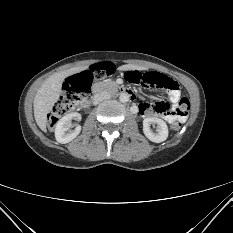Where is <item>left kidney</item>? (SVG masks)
I'll use <instances>...</instances> for the list:
<instances>
[{"label":"left kidney","mask_w":233,"mask_h":233,"mask_svg":"<svg viewBox=\"0 0 233 233\" xmlns=\"http://www.w3.org/2000/svg\"><path fill=\"white\" fill-rule=\"evenodd\" d=\"M151 124H157V132L151 130ZM143 132L150 141L155 143L163 142L168 137L167 124L162 119L156 117H148L143 120Z\"/></svg>","instance_id":"5707ae66"}]
</instances>
